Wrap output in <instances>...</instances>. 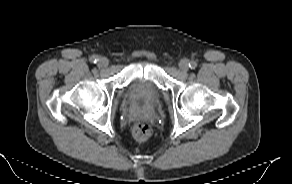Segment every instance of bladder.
Returning a JSON list of instances; mask_svg holds the SVG:
<instances>
[{"mask_svg": "<svg viewBox=\"0 0 292 184\" xmlns=\"http://www.w3.org/2000/svg\"><path fill=\"white\" fill-rule=\"evenodd\" d=\"M126 98L133 104L152 106L161 98V89L148 77H136L126 87Z\"/></svg>", "mask_w": 292, "mask_h": 184, "instance_id": "bladder-1", "label": "bladder"}]
</instances>
